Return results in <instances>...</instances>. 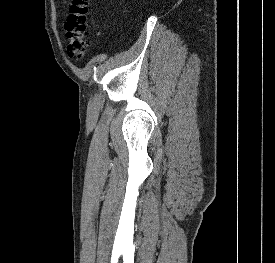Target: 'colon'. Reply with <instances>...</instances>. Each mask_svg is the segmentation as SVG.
I'll use <instances>...</instances> for the list:
<instances>
[{
	"label": "colon",
	"instance_id": "5ec220e1",
	"mask_svg": "<svg viewBox=\"0 0 275 263\" xmlns=\"http://www.w3.org/2000/svg\"><path fill=\"white\" fill-rule=\"evenodd\" d=\"M90 15V0H72L65 23L67 53L70 58L81 59L88 49Z\"/></svg>",
	"mask_w": 275,
	"mask_h": 263
}]
</instances>
